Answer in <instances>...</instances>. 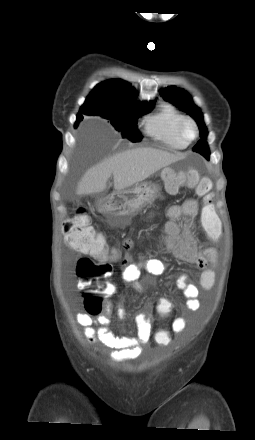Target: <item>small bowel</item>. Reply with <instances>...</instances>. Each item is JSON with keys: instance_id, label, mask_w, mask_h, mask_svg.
<instances>
[{"instance_id": "small-bowel-1", "label": "small bowel", "mask_w": 255, "mask_h": 440, "mask_svg": "<svg viewBox=\"0 0 255 440\" xmlns=\"http://www.w3.org/2000/svg\"><path fill=\"white\" fill-rule=\"evenodd\" d=\"M199 204L194 200H187L182 204L170 206L165 215L168 221L160 228L163 245L170 250L175 257L188 263L194 264L202 272L199 276L200 287L209 291L215 283V272L210 265L216 264V251L212 247L199 249L197 242L189 234V225H181L179 220L186 218L193 220L198 216ZM213 229H216V224ZM133 245L132 240L127 239L124 242L123 250L128 251ZM142 270L152 274L161 275L166 272L165 264L159 259H148L142 264L129 263L126 256L122 259V280L129 285L134 292H141L142 285L139 279ZM176 287L183 292L186 297V307L189 311H197L200 308L199 288L188 282L186 275L179 276L175 281ZM81 286V285H80ZM166 298V297H162ZM113 305L107 302L105 305L106 313L100 315L97 319L92 318L89 314L78 313L77 322L84 328V335L90 343L101 342L103 345L112 350L111 356L115 360L137 357L144 346H146L152 336L151 333V309L152 304L145 307L144 310L136 315V324L138 333L136 336H120L112 333L107 325L110 323V313ZM117 315L123 319L126 313L121 305L117 308ZM95 324H99V328H95ZM185 328V321L177 318L172 324V330L180 333ZM171 340V338H170ZM157 343V342H156Z\"/></svg>"}]
</instances>
